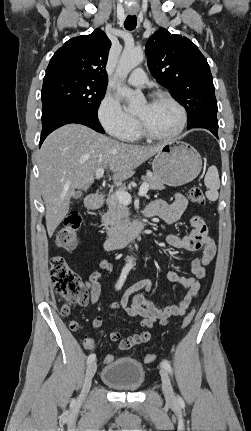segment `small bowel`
<instances>
[{
	"mask_svg": "<svg viewBox=\"0 0 251 431\" xmlns=\"http://www.w3.org/2000/svg\"><path fill=\"white\" fill-rule=\"evenodd\" d=\"M187 204L186 197L183 194L177 193L172 202L156 200L150 203L145 210L150 214V217L156 216L167 223H175L181 218L187 208ZM191 224L193 226L192 231L184 236L177 234L166 236V243L174 248L188 252H201L200 256L192 262V276H181L173 270L166 273V278L170 282L180 284L187 289L186 295L178 305L170 304L158 307L145 294H136L130 300L129 296L133 292L141 289L150 292L152 282L147 279L135 283L123 295L120 302L109 304L108 309H122L128 316L142 318L140 321L142 331L139 333L126 338H122L121 333L118 331H113L109 334L108 338L111 342H118L117 348L119 351H126L148 342L151 338L150 329H152L155 323L165 325L172 317L184 315L192 301L197 297L201 287L199 280L205 277L206 268L215 256L216 247L214 239L209 235L207 227L200 217H193ZM112 269V261L106 258L100 262L98 268L89 272L85 285L89 291L92 303L95 304L99 300L101 293L100 279L104 275L111 273ZM103 318V314H99L94 318L92 322L93 329L97 330L101 327Z\"/></svg>",
	"mask_w": 251,
	"mask_h": 431,
	"instance_id": "obj_1",
	"label": "small bowel"
}]
</instances>
